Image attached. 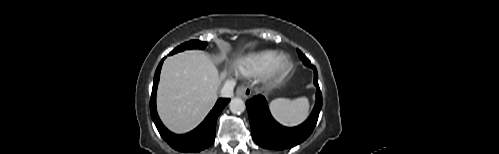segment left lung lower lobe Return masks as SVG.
Wrapping results in <instances>:
<instances>
[{
	"label": "left lung lower lobe",
	"instance_id": "left-lung-lower-lobe-1",
	"mask_svg": "<svg viewBox=\"0 0 499 154\" xmlns=\"http://www.w3.org/2000/svg\"><path fill=\"white\" fill-rule=\"evenodd\" d=\"M304 64L309 66L307 63ZM311 68L314 71V84L317 88L316 104L308 119L301 125L287 128L277 123L270 114L266 99L261 95L254 96L246 102L252 138L259 146L275 150L289 149L306 140L312 133L322 108V95L318 85L317 70L313 65Z\"/></svg>",
	"mask_w": 499,
	"mask_h": 154
}]
</instances>
